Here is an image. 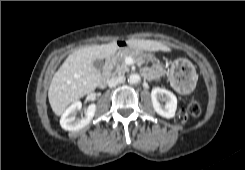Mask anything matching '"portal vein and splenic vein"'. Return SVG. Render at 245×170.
Segmentation results:
<instances>
[{
    "mask_svg": "<svg viewBox=\"0 0 245 170\" xmlns=\"http://www.w3.org/2000/svg\"><path fill=\"white\" fill-rule=\"evenodd\" d=\"M125 63H126V64H132V63H133V59H132L131 57H127V58L125 59Z\"/></svg>",
    "mask_w": 245,
    "mask_h": 170,
    "instance_id": "obj_1",
    "label": "portal vein and splenic vein"
}]
</instances>
